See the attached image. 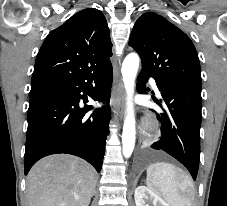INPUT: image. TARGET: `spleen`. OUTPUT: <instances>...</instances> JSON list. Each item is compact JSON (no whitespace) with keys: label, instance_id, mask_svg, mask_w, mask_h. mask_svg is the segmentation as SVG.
I'll return each mask as SVG.
<instances>
[{"label":"spleen","instance_id":"3e777b00","mask_svg":"<svg viewBox=\"0 0 227 206\" xmlns=\"http://www.w3.org/2000/svg\"><path fill=\"white\" fill-rule=\"evenodd\" d=\"M147 186L169 206H192L193 184L181 169L169 163H155L147 168Z\"/></svg>","mask_w":227,"mask_h":206}]
</instances>
